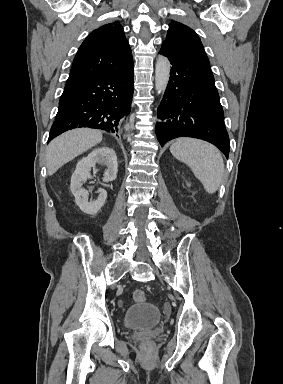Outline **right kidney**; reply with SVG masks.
Wrapping results in <instances>:
<instances>
[{"instance_id": "right-kidney-1", "label": "right kidney", "mask_w": 283, "mask_h": 384, "mask_svg": "<svg viewBox=\"0 0 283 384\" xmlns=\"http://www.w3.org/2000/svg\"><path fill=\"white\" fill-rule=\"evenodd\" d=\"M96 164L107 166V170L104 172L103 182L116 180L118 170L116 152L111 150V148L102 146V148H95L87 158H82V160L78 162L76 170L71 176L70 184V190L73 196H75L77 206H79L84 214H89L90 218L96 216L107 198L106 190L99 188L97 200H90V202H88V192L83 188V184H85L89 178H92L90 174L91 168H95ZM95 172H97V170H94V174Z\"/></svg>"}]
</instances>
